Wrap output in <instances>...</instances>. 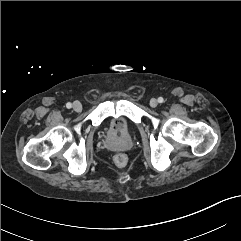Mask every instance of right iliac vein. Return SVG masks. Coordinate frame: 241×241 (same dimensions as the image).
<instances>
[{
	"instance_id": "63e3f726",
	"label": "right iliac vein",
	"mask_w": 241,
	"mask_h": 241,
	"mask_svg": "<svg viewBox=\"0 0 241 241\" xmlns=\"http://www.w3.org/2000/svg\"><path fill=\"white\" fill-rule=\"evenodd\" d=\"M72 107L76 112H80L82 110V104L79 101H75Z\"/></svg>"
}]
</instances>
